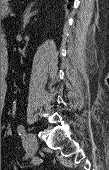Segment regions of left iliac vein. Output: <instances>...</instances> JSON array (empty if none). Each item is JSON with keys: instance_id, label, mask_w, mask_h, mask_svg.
I'll return each instance as SVG.
<instances>
[{"instance_id": "4c4485c4", "label": "left iliac vein", "mask_w": 109, "mask_h": 170, "mask_svg": "<svg viewBox=\"0 0 109 170\" xmlns=\"http://www.w3.org/2000/svg\"><path fill=\"white\" fill-rule=\"evenodd\" d=\"M38 142L34 134L28 133L27 134V151L25 158L28 159L29 157L33 156L37 150Z\"/></svg>"}]
</instances>
